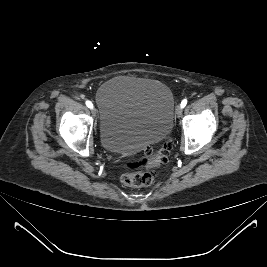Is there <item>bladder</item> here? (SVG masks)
I'll list each match as a JSON object with an SVG mask.
<instances>
[{
  "label": "bladder",
  "mask_w": 267,
  "mask_h": 267,
  "mask_svg": "<svg viewBox=\"0 0 267 267\" xmlns=\"http://www.w3.org/2000/svg\"><path fill=\"white\" fill-rule=\"evenodd\" d=\"M96 102L101 143L110 152L133 153L171 131L174 97L161 82L115 77L100 86Z\"/></svg>",
  "instance_id": "31cf9c89"
}]
</instances>
